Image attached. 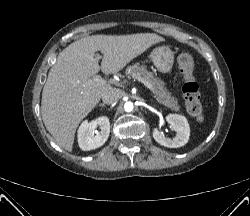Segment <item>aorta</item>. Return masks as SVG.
I'll return each mask as SVG.
<instances>
[{"mask_svg": "<svg viewBox=\"0 0 250 216\" xmlns=\"http://www.w3.org/2000/svg\"><path fill=\"white\" fill-rule=\"evenodd\" d=\"M134 108V105L132 102L128 101L124 104V109L126 112H131Z\"/></svg>", "mask_w": 250, "mask_h": 216, "instance_id": "obj_1", "label": "aorta"}]
</instances>
